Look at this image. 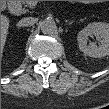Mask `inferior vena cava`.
<instances>
[{
	"mask_svg": "<svg viewBox=\"0 0 109 109\" xmlns=\"http://www.w3.org/2000/svg\"><path fill=\"white\" fill-rule=\"evenodd\" d=\"M36 23V19L32 17H25L18 23L19 26H32Z\"/></svg>",
	"mask_w": 109,
	"mask_h": 109,
	"instance_id": "602c4592",
	"label": "inferior vena cava"
}]
</instances>
